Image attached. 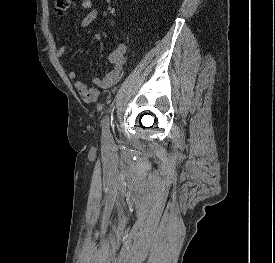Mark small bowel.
<instances>
[{
  "mask_svg": "<svg viewBox=\"0 0 275 263\" xmlns=\"http://www.w3.org/2000/svg\"><path fill=\"white\" fill-rule=\"evenodd\" d=\"M80 9L85 11V16L81 19L79 25L82 28L88 27L98 16V8L94 6L92 0H82L80 3ZM68 51V45H61L56 55L62 57ZM125 53L126 46L123 43H119L115 49L109 55L110 71L101 78L92 77L91 82L94 86L87 85L84 81L76 80L77 73L74 69H70L67 73L68 78L74 82V87L78 91L79 95L89 101H97L100 96L101 90L113 89L116 82L123 74L125 66Z\"/></svg>",
  "mask_w": 275,
  "mask_h": 263,
  "instance_id": "obj_1",
  "label": "small bowel"
}]
</instances>
